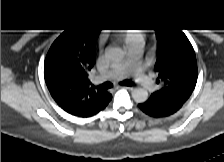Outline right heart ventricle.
Instances as JSON below:
<instances>
[{
  "label": "right heart ventricle",
  "instance_id": "e07e8e85",
  "mask_svg": "<svg viewBox=\"0 0 224 162\" xmlns=\"http://www.w3.org/2000/svg\"><path fill=\"white\" fill-rule=\"evenodd\" d=\"M128 37H127V41L129 42V43H131V44H136L138 41V37H137V35L132 31L131 33H129L128 35H127Z\"/></svg>",
  "mask_w": 224,
  "mask_h": 162
}]
</instances>
